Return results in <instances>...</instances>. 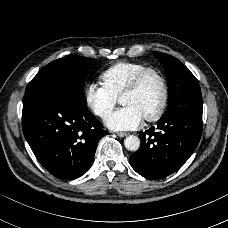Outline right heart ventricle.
<instances>
[{
	"label": "right heart ventricle",
	"mask_w": 228,
	"mask_h": 228,
	"mask_svg": "<svg viewBox=\"0 0 228 228\" xmlns=\"http://www.w3.org/2000/svg\"><path fill=\"white\" fill-rule=\"evenodd\" d=\"M148 65L136 62H117L106 68L100 75L104 86L115 97L120 98L133 78Z\"/></svg>",
	"instance_id": "1"
}]
</instances>
